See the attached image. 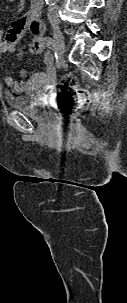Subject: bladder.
I'll return each instance as SVG.
<instances>
[{
    "mask_svg": "<svg viewBox=\"0 0 127 303\" xmlns=\"http://www.w3.org/2000/svg\"><path fill=\"white\" fill-rule=\"evenodd\" d=\"M6 103L12 110H17L35 120H45L49 114L46 111V104L41 100L39 95L26 93L22 95L5 96Z\"/></svg>",
    "mask_w": 127,
    "mask_h": 303,
    "instance_id": "obj_1",
    "label": "bladder"
}]
</instances>
